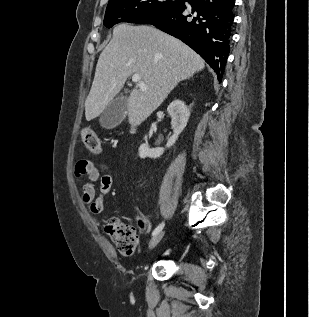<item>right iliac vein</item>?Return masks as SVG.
<instances>
[{
    "label": "right iliac vein",
    "instance_id": "right-iliac-vein-1",
    "mask_svg": "<svg viewBox=\"0 0 309 317\" xmlns=\"http://www.w3.org/2000/svg\"><path fill=\"white\" fill-rule=\"evenodd\" d=\"M164 231H160L158 234L154 235L149 242L148 249L152 250L163 238Z\"/></svg>",
    "mask_w": 309,
    "mask_h": 317
}]
</instances>
